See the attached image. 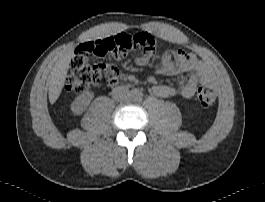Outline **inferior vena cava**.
I'll return each instance as SVG.
<instances>
[{"mask_svg": "<svg viewBox=\"0 0 265 202\" xmlns=\"http://www.w3.org/2000/svg\"><path fill=\"white\" fill-rule=\"evenodd\" d=\"M131 92L127 87L119 86L113 89L112 97L115 101L124 102L129 100Z\"/></svg>", "mask_w": 265, "mask_h": 202, "instance_id": "602c4592", "label": "inferior vena cava"}]
</instances>
